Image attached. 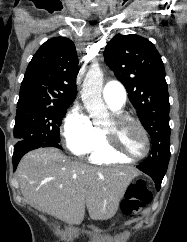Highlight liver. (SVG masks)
Here are the masks:
<instances>
[{
	"instance_id": "liver-1",
	"label": "liver",
	"mask_w": 187,
	"mask_h": 242,
	"mask_svg": "<svg viewBox=\"0 0 187 242\" xmlns=\"http://www.w3.org/2000/svg\"><path fill=\"white\" fill-rule=\"evenodd\" d=\"M130 167L97 168L67 158L54 148L26 154L17 168L26 202L69 224L79 225L85 206L92 220L112 218L132 179Z\"/></svg>"
}]
</instances>
